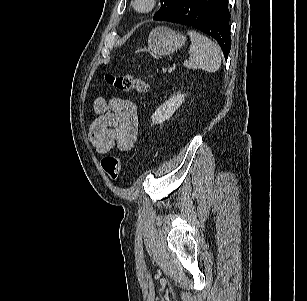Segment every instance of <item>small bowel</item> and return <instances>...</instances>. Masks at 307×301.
<instances>
[{
    "mask_svg": "<svg viewBox=\"0 0 307 301\" xmlns=\"http://www.w3.org/2000/svg\"><path fill=\"white\" fill-rule=\"evenodd\" d=\"M97 115L90 127L89 140L96 152L105 155L117 146L126 152L132 149L138 135V110L134 102L97 98L93 102Z\"/></svg>",
    "mask_w": 307,
    "mask_h": 301,
    "instance_id": "1",
    "label": "small bowel"
}]
</instances>
